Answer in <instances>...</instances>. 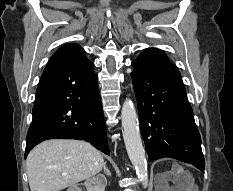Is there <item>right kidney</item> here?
<instances>
[{
    "instance_id": "1",
    "label": "right kidney",
    "mask_w": 233,
    "mask_h": 191,
    "mask_svg": "<svg viewBox=\"0 0 233 191\" xmlns=\"http://www.w3.org/2000/svg\"><path fill=\"white\" fill-rule=\"evenodd\" d=\"M89 191H104V185H96L95 182L88 183ZM67 191H74V190H67Z\"/></svg>"
}]
</instances>
